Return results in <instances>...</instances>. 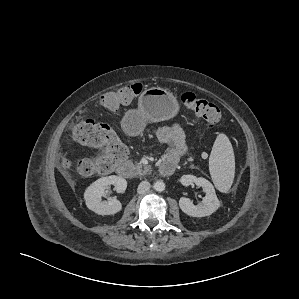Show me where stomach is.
<instances>
[{
    "instance_id": "obj_1",
    "label": "stomach",
    "mask_w": 299,
    "mask_h": 299,
    "mask_svg": "<svg viewBox=\"0 0 299 299\" xmlns=\"http://www.w3.org/2000/svg\"><path fill=\"white\" fill-rule=\"evenodd\" d=\"M180 110L177 98L167 89L151 87L138 98V108L124 117V128L131 135L139 134L148 122H161L175 117Z\"/></svg>"
}]
</instances>
